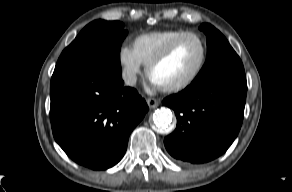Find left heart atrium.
Masks as SVG:
<instances>
[{
	"instance_id": "left-heart-atrium-1",
	"label": "left heart atrium",
	"mask_w": 292,
	"mask_h": 192,
	"mask_svg": "<svg viewBox=\"0 0 292 192\" xmlns=\"http://www.w3.org/2000/svg\"><path fill=\"white\" fill-rule=\"evenodd\" d=\"M151 82H152V84H153L154 86L159 87V85H158L157 83H155L153 80H151Z\"/></svg>"
}]
</instances>
